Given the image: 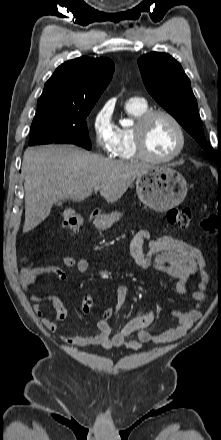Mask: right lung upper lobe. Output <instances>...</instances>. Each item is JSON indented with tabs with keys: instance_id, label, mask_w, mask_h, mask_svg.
Returning <instances> with one entry per match:
<instances>
[{
	"instance_id": "right-lung-upper-lobe-1",
	"label": "right lung upper lobe",
	"mask_w": 221,
	"mask_h": 440,
	"mask_svg": "<svg viewBox=\"0 0 221 440\" xmlns=\"http://www.w3.org/2000/svg\"><path fill=\"white\" fill-rule=\"evenodd\" d=\"M114 72L108 58L80 57L60 65L46 82L38 103L57 101L74 106L93 105Z\"/></svg>"
}]
</instances>
